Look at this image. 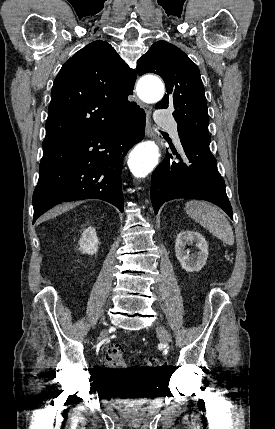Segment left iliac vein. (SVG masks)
<instances>
[{
	"instance_id": "obj_1",
	"label": "left iliac vein",
	"mask_w": 275,
	"mask_h": 429,
	"mask_svg": "<svg viewBox=\"0 0 275 429\" xmlns=\"http://www.w3.org/2000/svg\"><path fill=\"white\" fill-rule=\"evenodd\" d=\"M157 334L163 344L168 345L170 343L171 336L169 332L166 330V328H164L163 326H159L157 328Z\"/></svg>"
}]
</instances>
